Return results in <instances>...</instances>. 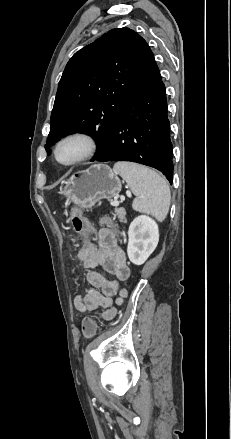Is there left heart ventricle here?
<instances>
[{
    "label": "left heart ventricle",
    "instance_id": "b2bd125f",
    "mask_svg": "<svg viewBox=\"0 0 231 439\" xmlns=\"http://www.w3.org/2000/svg\"><path fill=\"white\" fill-rule=\"evenodd\" d=\"M86 149V145L81 140H70L65 142L58 151V157L62 162H70L81 156Z\"/></svg>",
    "mask_w": 231,
    "mask_h": 439
}]
</instances>
